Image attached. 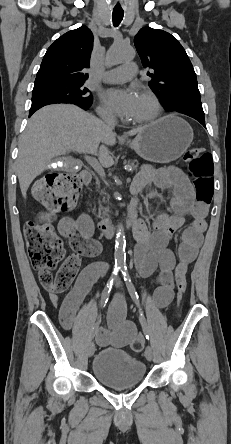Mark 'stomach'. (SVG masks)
Wrapping results in <instances>:
<instances>
[{
    "instance_id": "obj_1",
    "label": "stomach",
    "mask_w": 231,
    "mask_h": 444,
    "mask_svg": "<svg viewBox=\"0 0 231 444\" xmlns=\"http://www.w3.org/2000/svg\"><path fill=\"white\" fill-rule=\"evenodd\" d=\"M192 140L191 126L178 116L167 115L145 126L130 146L145 160L169 163L186 152Z\"/></svg>"
}]
</instances>
